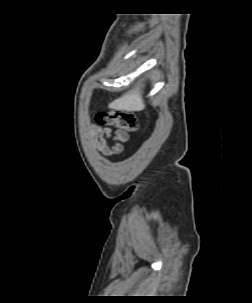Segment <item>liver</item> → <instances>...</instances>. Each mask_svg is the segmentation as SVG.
I'll list each match as a JSON object with an SVG mask.
<instances>
[{
  "label": "liver",
  "instance_id": "liver-1",
  "mask_svg": "<svg viewBox=\"0 0 252 303\" xmlns=\"http://www.w3.org/2000/svg\"><path fill=\"white\" fill-rule=\"evenodd\" d=\"M143 87L144 84L139 82L130 91L110 103L109 108L119 111L125 110L129 112L142 111L145 108V104L142 99Z\"/></svg>",
  "mask_w": 252,
  "mask_h": 303
}]
</instances>
